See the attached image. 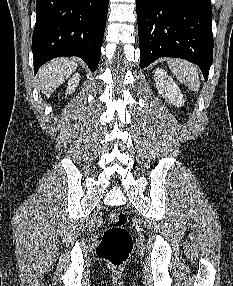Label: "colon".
<instances>
[{
    "instance_id": "1",
    "label": "colon",
    "mask_w": 233,
    "mask_h": 286,
    "mask_svg": "<svg viewBox=\"0 0 233 286\" xmlns=\"http://www.w3.org/2000/svg\"><path fill=\"white\" fill-rule=\"evenodd\" d=\"M127 216L111 211L106 218V230L96 249L97 256L112 268H121L132 251V239L126 228Z\"/></svg>"
}]
</instances>
